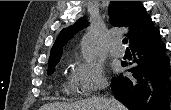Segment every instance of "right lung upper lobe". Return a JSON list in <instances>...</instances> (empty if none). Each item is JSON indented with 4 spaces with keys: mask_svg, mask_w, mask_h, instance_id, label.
Instances as JSON below:
<instances>
[{
    "mask_svg": "<svg viewBox=\"0 0 171 110\" xmlns=\"http://www.w3.org/2000/svg\"><path fill=\"white\" fill-rule=\"evenodd\" d=\"M109 17L118 27H128L130 48L154 36L159 30L153 25L141 1H110ZM87 26L84 17L72 26L64 28L58 35L50 52V58L62 55V48L80 29Z\"/></svg>",
    "mask_w": 171,
    "mask_h": 110,
    "instance_id": "obj_1",
    "label": "right lung upper lobe"
}]
</instances>
